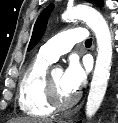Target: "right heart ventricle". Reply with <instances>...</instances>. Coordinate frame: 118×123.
<instances>
[{"instance_id":"e07e8e85","label":"right heart ventricle","mask_w":118,"mask_h":123,"mask_svg":"<svg viewBox=\"0 0 118 123\" xmlns=\"http://www.w3.org/2000/svg\"><path fill=\"white\" fill-rule=\"evenodd\" d=\"M51 63L40 54L28 66L19 83L18 104L20 109L33 117H47L53 113L46 100L45 78Z\"/></svg>"}]
</instances>
